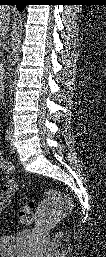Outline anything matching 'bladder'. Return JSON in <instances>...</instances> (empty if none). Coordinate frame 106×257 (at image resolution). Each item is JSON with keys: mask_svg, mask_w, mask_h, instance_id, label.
Listing matches in <instances>:
<instances>
[{"mask_svg": "<svg viewBox=\"0 0 106 257\" xmlns=\"http://www.w3.org/2000/svg\"><path fill=\"white\" fill-rule=\"evenodd\" d=\"M31 241L32 233L29 230L1 236L0 255L1 257H27Z\"/></svg>", "mask_w": 106, "mask_h": 257, "instance_id": "1", "label": "bladder"}]
</instances>
